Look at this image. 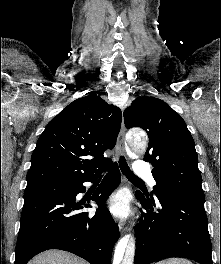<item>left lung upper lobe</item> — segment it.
<instances>
[{"label":"left lung upper lobe","mask_w":221,"mask_h":264,"mask_svg":"<svg viewBox=\"0 0 221 264\" xmlns=\"http://www.w3.org/2000/svg\"><path fill=\"white\" fill-rule=\"evenodd\" d=\"M124 122L127 128L141 127L148 134L144 160L154 167L155 195L205 200L194 140L184 120L168 104L154 97H138L124 110Z\"/></svg>","instance_id":"left-lung-upper-lobe-1"}]
</instances>
